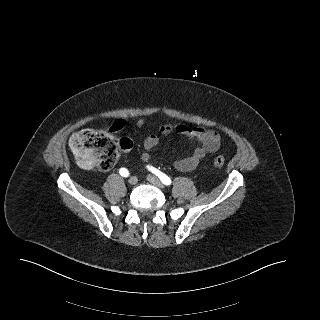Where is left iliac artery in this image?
Returning a JSON list of instances; mask_svg holds the SVG:
<instances>
[{"label":"left iliac artery","mask_w":320,"mask_h":320,"mask_svg":"<svg viewBox=\"0 0 320 320\" xmlns=\"http://www.w3.org/2000/svg\"><path fill=\"white\" fill-rule=\"evenodd\" d=\"M149 170H151L155 175H157L160 180L162 181L163 184L165 185H170L171 184V179L164 173H162L161 171L157 170L156 168L153 167H149L147 166Z\"/></svg>","instance_id":"obj_1"}]
</instances>
